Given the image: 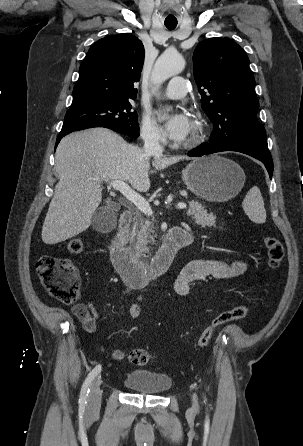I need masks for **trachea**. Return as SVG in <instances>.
<instances>
[{
  "instance_id": "1",
  "label": "trachea",
  "mask_w": 303,
  "mask_h": 446,
  "mask_svg": "<svg viewBox=\"0 0 303 446\" xmlns=\"http://www.w3.org/2000/svg\"><path fill=\"white\" fill-rule=\"evenodd\" d=\"M165 26L169 29V30H173L176 28L177 26V22H165Z\"/></svg>"
}]
</instances>
